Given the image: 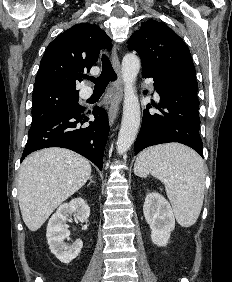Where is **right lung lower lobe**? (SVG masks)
Masks as SVG:
<instances>
[{
    "label": "right lung lower lobe",
    "instance_id": "98d812e1",
    "mask_svg": "<svg viewBox=\"0 0 232 282\" xmlns=\"http://www.w3.org/2000/svg\"><path fill=\"white\" fill-rule=\"evenodd\" d=\"M93 113L95 121L81 128L89 120L87 113ZM109 134L108 115L105 109L96 106L93 111L80 108L65 111L31 126L29 139L21 161L31 152L47 147H63L73 150L92 161L100 170L103 164L105 144Z\"/></svg>",
    "mask_w": 232,
    "mask_h": 282
}]
</instances>
